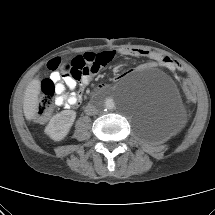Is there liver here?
<instances>
[{"label":"liver","instance_id":"1","mask_svg":"<svg viewBox=\"0 0 215 215\" xmlns=\"http://www.w3.org/2000/svg\"><path fill=\"white\" fill-rule=\"evenodd\" d=\"M41 82L38 78L33 79L27 86L23 99V111L27 120L35 118L38 111Z\"/></svg>","mask_w":215,"mask_h":215}]
</instances>
